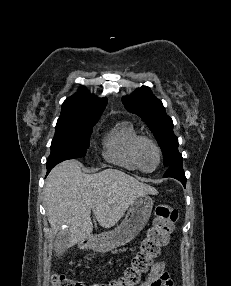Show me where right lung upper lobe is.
<instances>
[{"mask_svg": "<svg viewBox=\"0 0 231 286\" xmlns=\"http://www.w3.org/2000/svg\"><path fill=\"white\" fill-rule=\"evenodd\" d=\"M107 104L106 98L98 99L86 89H80L75 95L67 98L62 104L61 114L89 115L100 114Z\"/></svg>", "mask_w": 231, "mask_h": 286, "instance_id": "cb5924a9", "label": "right lung upper lobe"}]
</instances>
